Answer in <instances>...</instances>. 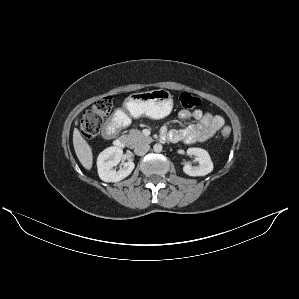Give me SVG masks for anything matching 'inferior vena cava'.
<instances>
[{
	"label": "inferior vena cava",
	"instance_id": "inferior-vena-cava-1",
	"mask_svg": "<svg viewBox=\"0 0 299 299\" xmlns=\"http://www.w3.org/2000/svg\"><path fill=\"white\" fill-rule=\"evenodd\" d=\"M149 149H150V145L142 143L135 147L134 153L136 155L141 156V155L146 154L149 151Z\"/></svg>",
	"mask_w": 299,
	"mask_h": 299
}]
</instances>
